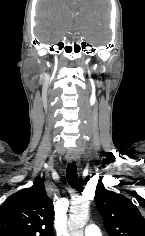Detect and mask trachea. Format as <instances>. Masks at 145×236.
<instances>
[{"label":"trachea","instance_id":"1","mask_svg":"<svg viewBox=\"0 0 145 236\" xmlns=\"http://www.w3.org/2000/svg\"><path fill=\"white\" fill-rule=\"evenodd\" d=\"M66 176H67V181L69 185L72 187L76 186L77 181H78V175H77V167H76L75 162L68 164L67 170H66Z\"/></svg>","mask_w":145,"mask_h":236}]
</instances>
